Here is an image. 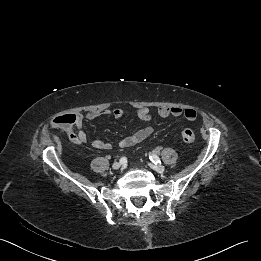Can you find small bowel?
<instances>
[{
	"mask_svg": "<svg viewBox=\"0 0 261 261\" xmlns=\"http://www.w3.org/2000/svg\"><path fill=\"white\" fill-rule=\"evenodd\" d=\"M125 111L121 108H116L113 110H102V111H90L85 115L74 114L75 123L67 128H64L68 139L75 144H85L88 141L86 133L83 131V123L85 121H94L100 117H112L114 119H120L124 116ZM158 114L160 117H180L184 116L187 120L193 121L197 118L196 110L192 108H181V107H167L163 106L158 109ZM136 116L145 122H149L152 119L150 110L147 107H142L137 109ZM153 133V127L151 125L145 126L132 135L124 137L119 140L118 146L120 148L131 147L138 144L148 138ZM91 146L98 150H109L111 144L109 142L95 139L91 142Z\"/></svg>",
	"mask_w": 261,
	"mask_h": 261,
	"instance_id": "c3829d8e",
	"label": "small bowel"
}]
</instances>
